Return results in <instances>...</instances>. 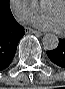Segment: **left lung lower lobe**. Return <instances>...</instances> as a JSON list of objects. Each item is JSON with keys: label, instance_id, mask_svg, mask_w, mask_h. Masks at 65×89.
I'll return each instance as SVG.
<instances>
[{"label": "left lung lower lobe", "instance_id": "left-lung-lower-lobe-1", "mask_svg": "<svg viewBox=\"0 0 65 89\" xmlns=\"http://www.w3.org/2000/svg\"><path fill=\"white\" fill-rule=\"evenodd\" d=\"M46 53L54 64L65 68V38L59 40V45L56 49Z\"/></svg>", "mask_w": 65, "mask_h": 89}]
</instances>
